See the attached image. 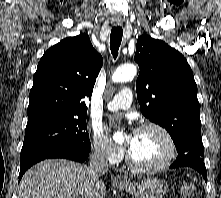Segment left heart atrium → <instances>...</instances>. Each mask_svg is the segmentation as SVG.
Returning a JSON list of instances; mask_svg holds the SVG:
<instances>
[{
    "label": "left heart atrium",
    "instance_id": "obj_1",
    "mask_svg": "<svg viewBox=\"0 0 221 198\" xmlns=\"http://www.w3.org/2000/svg\"><path fill=\"white\" fill-rule=\"evenodd\" d=\"M135 133L134 132H130L127 135V139H126V149L128 150L131 146V143L133 142Z\"/></svg>",
    "mask_w": 221,
    "mask_h": 198
}]
</instances>
